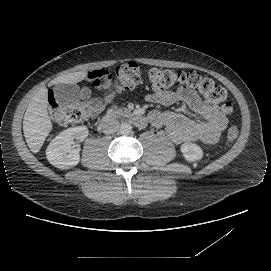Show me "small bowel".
<instances>
[{
	"instance_id": "obj_1",
	"label": "small bowel",
	"mask_w": 271,
	"mask_h": 271,
	"mask_svg": "<svg viewBox=\"0 0 271 271\" xmlns=\"http://www.w3.org/2000/svg\"><path fill=\"white\" fill-rule=\"evenodd\" d=\"M105 71H91L87 73L86 77L93 80ZM88 93V88H84L82 97L87 98ZM114 97L113 92H107L105 103H111ZM147 100L164 106L182 103L195 114L194 117H186L174 113H151V122L156 126L164 127L168 137L177 144L189 141L215 143L227 126V118L224 113L209 105L195 92L184 86L163 94H149Z\"/></svg>"
}]
</instances>
